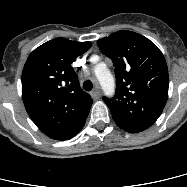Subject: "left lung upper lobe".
I'll use <instances>...</instances> for the list:
<instances>
[{"instance_id": "obj_1", "label": "left lung upper lobe", "mask_w": 187, "mask_h": 187, "mask_svg": "<svg viewBox=\"0 0 187 187\" xmlns=\"http://www.w3.org/2000/svg\"><path fill=\"white\" fill-rule=\"evenodd\" d=\"M97 43L115 66V95L103 97L114 121L129 133L146 130L159 118L168 98V68L162 52L146 37L125 30Z\"/></svg>"}]
</instances>
